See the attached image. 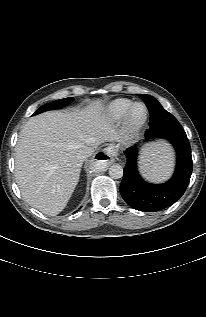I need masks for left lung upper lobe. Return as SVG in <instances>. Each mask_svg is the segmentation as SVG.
I'll return each mask as SVG.
<instances>
[{"mask_svg":"<svg viewBox=\"0 0 206 317\" xmlns=\"http://www.w3.org/2000/svg\"><path fill=\"white\" fill-rule=\"evenodd\" d=\"M140 97L144 100L150 112V128L146 131L147 135H158L165 132H184L177 119L167 112L154 97L145 94H141Z\"/></svg>","mask_w":206,"mask_h":317,"instance_id":"obj_1","label":"left lung upper lobe"}]
</instances>
